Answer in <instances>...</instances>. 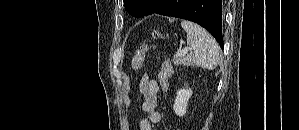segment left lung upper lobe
<instances>
[{
  "mask_svg": "<svg viewBox=\"0 0 299 130\" xmlns=\"http://www.w3.org/2000/svg\"><path fill=\"white\" fill-rule=\"evenodd\" d=\"M152 0H124V6L127 12L135 17H142Z\"/></svg>",
  "mask_w": 299,
  "mask_h": 130,
  "instance_id": "left-lung-upper-lobe-1",
  "label": "left lung upper lobe"
}]
</instances>
